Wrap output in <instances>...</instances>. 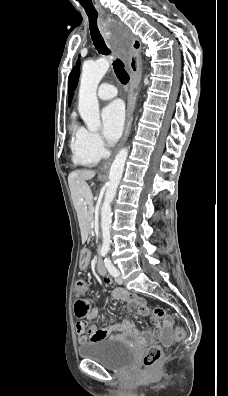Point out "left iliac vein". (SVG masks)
Listing matches in <instances>:
<instances>
[{
    "mask_svg": "<svg viewBox=\"0 0 228 396\" xmlns=\"http://www.w3.org/2000/svg\"><path fill=\"white\" fill-rule=\"evenodd\" d=\"M115 281H116L118 284H122V283H123V279H122V277H121L120 274L115 278Z\"/></svg>",
    "mask_w": 228,
    "mask_h": 396,
    "instance_id": "obj_1",
    "label": "left iliac vein"
}]
</instances>
